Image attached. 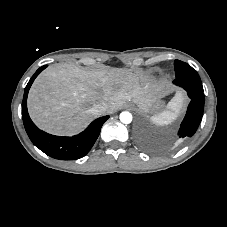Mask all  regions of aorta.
Wrapping results in <instances>:
<instances>
[{"label":"aorta","mask_w":227,"mask_h":227,"mask_svg":"<svg viewBox=\"0 0 227 227\" xmlns=\"http://www.w3.org/2000/svg\"><path fill=\"white\" fill-rule=\"evenodd\" d=\"M120 121L124 124H129L132 122V114L130 112L124 111L120 113Z\"/></svg>","instance_id":"762f6f07"}]
</instances>
